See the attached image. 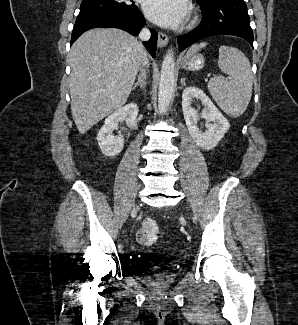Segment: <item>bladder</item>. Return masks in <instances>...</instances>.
Returning <instances> with one entry per match:
<instances>
[{"label": "bladder", "instance_id": "31cf9c89", "mask_svg": "<svg viewBox=\"0 0 298 325\" xmlns=\"http://www.w3.org/2000/svg\"><path fill=\"white\" fill-rule=\"evenodd\" d=\"M176 278L175 272H169L157 277L147 278L146 284L155 291H164L175 282Z\"/></svg>", "mask_w": 298, "mask_h": 325}]
</instances>
